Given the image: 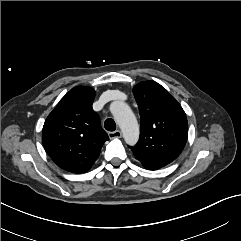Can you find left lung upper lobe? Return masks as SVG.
<instances>
[{"mask_svg":"<svg viewBox=\"0 0 241 241\" xmlns=\"http://www.w3.org/2000/svg\"><path fill=\"white\" fill-rule=\"evenodd\" d=\"M133 93L141 129L138 143L130 148L146 169L157 170L183 151L188 135L186 114L177 100L155 81L137 84Z\"/></svg>","mask_w":241,"mask_h":241,"instance_id":"1","label":"left lung upper lobe"}]
</instances>
